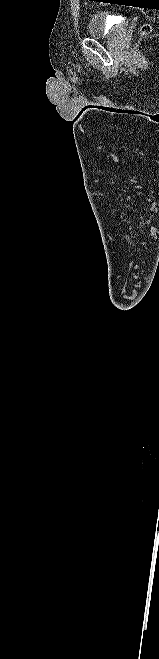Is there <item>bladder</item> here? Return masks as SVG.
<instances>
[{
    "label": "bladder",
    "instance_id": "bladder-1",
    "mask_svg": "<svg viewBox=\"0 0 159 659\" xmlns=\"http://www.w3.org/2000/svg\"><path fill=\"white\" fill-rule=\"evenodd\" d=\"M118 26L108 22L103 14H94L90 17L86 33L92 39H107L115 36Z\"/></svg>",
    "mask_w": 159,
    "mask_h": 659
}]
</instances>
